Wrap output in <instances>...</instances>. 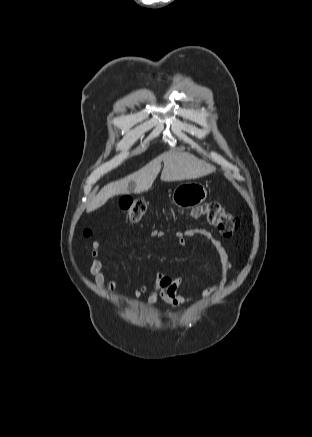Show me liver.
I'll return each instance as SVG.
<instances>
[{
	"label": "liver",
	"mask_w": 312,
	"mask_h": 437,
	"mask_svg": "<svg viewBox=\"0 0 312 437\" xmlns=\"http://www.w3.org/2000/svg\"><path fill=\"white\" fill-rule=\"evenodd\" d=\"M162 161L164 168L160 178L166 182L196 179L215 171L214 166L191 153L168 151L150 161L140 170L104 186L88 205L87 212L100 208L115 195L130 192L139 194L149 190L161 170ZM131 182L132 188H130Z\"/></svg>",
	"instance_id": "obj_1"
}]
</instances>
